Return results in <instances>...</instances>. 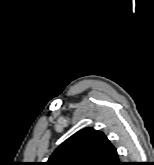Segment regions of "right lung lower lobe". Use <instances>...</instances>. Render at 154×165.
Masks as SVG:
<instances>
[{
    "label": "right lung lower lobe",
    "mask_w": 154,
    "mask_h": 165,
    "mask_svg": "<svg viewBox=\"0 0 154 165\" xmlns=\"http://www.w3.org/2000/svg\"><path fill=\"white\" fill-rule=\"evenodd\" d=\"M113 165H121V163L117 159V161Z\"/></svg>",
    "instance_id": "obj_1"
}]
</instances>
